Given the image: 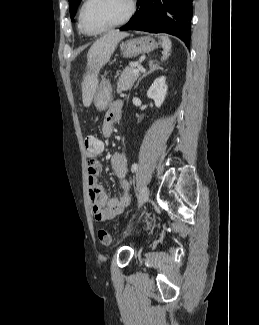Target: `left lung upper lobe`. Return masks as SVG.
Returning a JSON list of instances; mask_svg holds the SVG:
<instances>
[{"label":"left lung upper lobe","mask_w":259,"mask_h":325,"mask_svg":"<svg viewBox=\"0 0 259 325\" xmlns=\"http://www.w3.org/2000/svg\"><path fill=\"white\" fill-rule=\"evenodd\" d=\"M81 0H69V10L71 19L74 18L77 7Z\"/></svg>","instance_id":"obj_1"}]
</instances>
